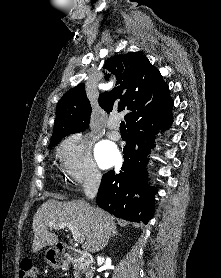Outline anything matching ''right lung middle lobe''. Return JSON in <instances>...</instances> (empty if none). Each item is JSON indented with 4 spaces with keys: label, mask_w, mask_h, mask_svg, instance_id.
Segmentation results:
<instances>
[{
    "label": "right lung middle lobe",
    "mask_w": 221,
    "mask_h": 278,
    "mask_svg": "<svg viewBox=\"0 0 221 278\" xmlns=\"http://www.w3.org/2000/svg\"><path fill=\"white\" fill-rule=\"evenodd\" d=\"M55 144H53V145H50V147H53Z\"/></svg>",
    "instance_id": "1"
}]
</instances>
